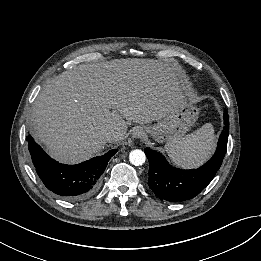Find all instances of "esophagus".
<instances>
[{"label":"esophagus","mask_w":261,"mask_h":261,"mask_svg":"<svg viewBox=\"0 0 261 261\" xmlns=\"http://www.w3.org/2000/svg\"><path fill=\"white\" fill-rule=\"evenodd\" d=\"M145 134V131L143 128L138 127L136 129H134L132 135L134 138H140L141 136H143Z\"/></svg>","instance_id":"1"}]
</instances>
